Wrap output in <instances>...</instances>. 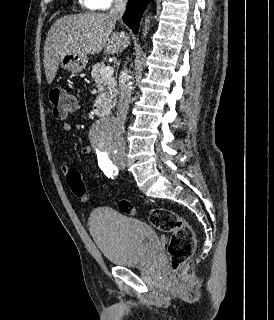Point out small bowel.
I'll return each mask as SVG.
<instances>
[{
  "instance_id": "c3829d8e",
  "label": "small bowel",
  "mask_w": 274,
  "mask_h": 320,
  "mask_svg": "<svg viewBox=\"0 0 274 320\" xmlns=\"http://www.w3.org/2000/svg\"><path fill=\"white\" fill-rule=\"evenodd\" d=\"M72 128H73L72 124H71V123H68V122H66V123H64V124L62 125V129H63L64 132H70V131L72 130ZM91 152H92V148H91L90 146H86V147H83V148L81 149V153H82L83 155H88V154H90ZM60 170H61L62 173L67 174V172H68L70 169H69V167H68L66 164H62V165L60 166ZM88 202H89V201L84 202V203H88Z\"/></svg>"
}]
</instances>
